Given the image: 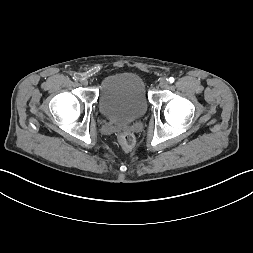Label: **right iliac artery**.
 <instances>
[{
    "label": "right iliac artery",
    "instance_id": "1",
    "mask_svg": "<svg viewBox=\"0 0 253 253\" xmlns=\"http://www.w3.org/2000/svg\"><path fill=\"white\" fill-rule=\"evenodd\" d=\"M73 79H74L75 81H78V80L80 79V77L77 76V75H74Z\"/></svg>",
    "mask_w": 253,
    "mask_h": 253
}]
</instances>
